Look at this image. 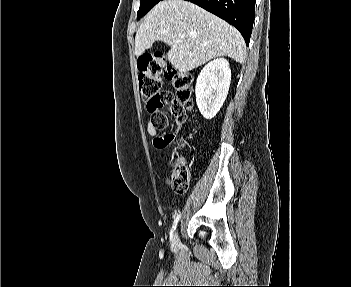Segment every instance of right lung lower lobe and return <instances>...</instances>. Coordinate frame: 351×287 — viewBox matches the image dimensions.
Returning a JSON list of instances; mask_svg holds the SVG:
<instances>
[{
    "label": "right lung lower lobe",
    "mask_w": 351,
    "mask_h": 287,
    "mask_svg": "<svg viewBox=\"0 0 351 287\" xmlns=\"http://www.w3.org/2000/svg\"><path fill=\"white\" fill-rule=\"evenodd\" d=\"M235 26L249 44L255 18V0H187Z\"/></svg>",
    "instance_id": "right-lung-lower-lobe-1"
}]
</instances>
